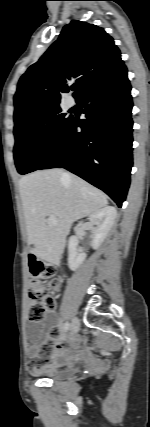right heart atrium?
Instances as JSON below:
<instances>
[{"instance_id":"1","label":"right heart atrium","mask_w":150,"mask_h":427,"mask_svg":"<svg viewBox=\"0 0 150 427\" xmlns=\"http://www.w3.org/2000/svg\"><path fill=\"white\" fill-rule=\"evenodd\" d=\"M50 135H51L50 130L45 129V130L43 131V136H44L45 138H49V137H50Z\"/></svg>"}]
</instances>
